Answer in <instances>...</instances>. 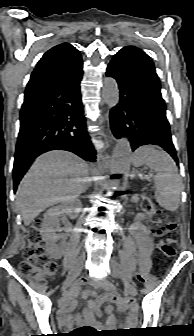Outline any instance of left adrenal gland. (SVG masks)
I'll return each instance as SVG.
<instances>
[{
  "mask_svg": "<svg viewBox=\"0 0 194 336\" xmlns=\"http://www.w3.org/2000/svg\"><path fill=\"white\" fill-rule=\"evenodd\" d=\"M134 176H135V174L133 173V174L131 175V178H134Z\"/></svg>",
  "mask_w": 194,
  "mask_h": 336,
  "instance_id": "a2214340",
  "label": "left adrenal gland"
}]
</instances>
